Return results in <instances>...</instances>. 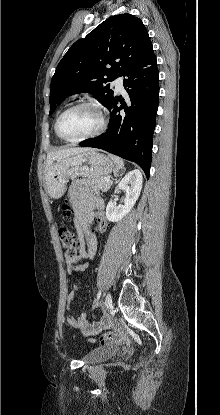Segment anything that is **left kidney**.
I'll list each match as a JSON object with an SVG mask.
<instances>
[{"label": "left kidney", "mask_w": 220, "mask_h": 415, "mask_svg": "<svg viewBox=\"0 0 220 415\" xmlns=\"http://www.w3.org/2000/svg\"><path fill=\"white\" fill-rule=\"evenodd\" d=\"M143 177L138 169L128 172L115 188V193L125 191V201L123 206H116L112 199L106 207V217L111 222H118L124 218L133 208L140 196Z\"/></svg>", "instance_id": "5707ae66"}]
</instances>
